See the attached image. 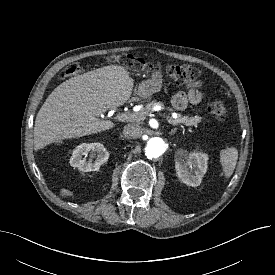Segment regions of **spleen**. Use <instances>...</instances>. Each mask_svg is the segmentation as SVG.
<instances>
[{
    "label": "spleen",
    "instance_id": "3e777b00",
    "mask_svg": "<svg viewBox=\"0 0 275 275\" xmlns=\"http://www.w3.org/2000/svg\"><path fill=\"white\" fill-rule=\"evenodd\" d=\"M238 159V151L234 147H228L220 153V163L226 177H230L235 169Z\"/></svg>",
    "mask_w": 275,
    "mask_h": 275
}]
</instances>
